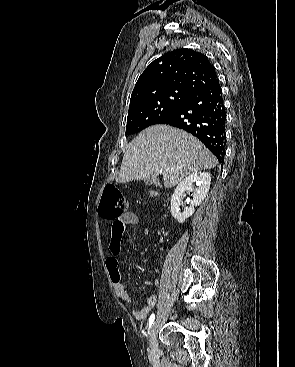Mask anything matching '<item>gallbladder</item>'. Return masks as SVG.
<instances>
[{
  "instance_id": "1",
  "label": "gallbladder",
  "mask_w": 295,
  "mask_h": 367,
  "mask_svg": "<svg viewBox=\"0 0 295 367\" xmlns=\"http://www.w3.org/2000/svg\"><path fill=\"white\" fill-rule=\"evenodd\" d=\"M144 182L146 185L158 184V181L153 179H145Z\"/></svg>"
}]
</instances>
